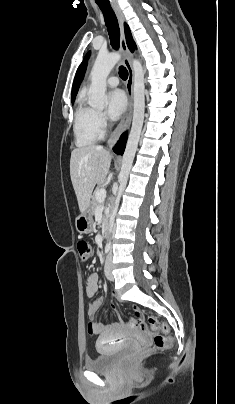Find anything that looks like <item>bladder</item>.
I'll return each instance as SVG.
<instances>
[{"instance_id": "1", "label": "bladder", "mask_w": 235, "mask_h": 404, "mask_svg": "<svg viewBox=\"0 0 235 404\" xmlns=\"http://www.w3.org/2000/svg\"><path fill=\"white\" fill-rule=\"evenodd\" d=\"M97 348L100 353L95 358L85 361V366L95 373L109 372L122 355L123 349L114 348L109 352H105L108 347L99 346Z\"/></svg>"}]
</instances>
